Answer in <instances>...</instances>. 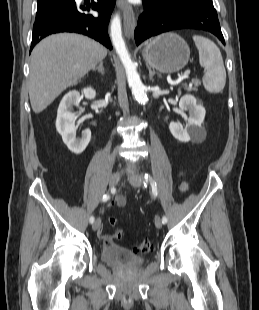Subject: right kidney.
<instances>
[{"mask_svg":"<svg viewBox=\"0 0 259 310\" xmlns=\"http://www.w3.org/2000/svg\"><path fill=\"white\" fill-rule=\"evenodd\" d=\"M82 94L86 99H94L96 92L91 87L85 88ZM81 100L78 91L68 92L61 100L56 119V129L62 136L63 142L68 149L75 154H81L88 146L91 139L90 129L82 133L81 138H76L75 120L76 114L72 112L73 106H79Z\"/></svg>","mask_w":259,"mask_h":310,"instance_id":"right-kidney-1","label":"right kidney"}]
</instances>
